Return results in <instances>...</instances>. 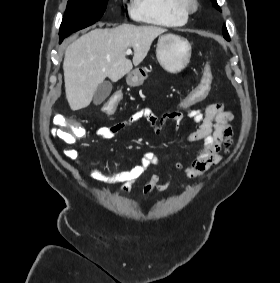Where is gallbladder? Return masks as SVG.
<instances>
[{
    "label": "gallbladder",
    "instance_id": "gallbladder-1",
    "mask_svg": "<svg viewBox=\"0 0 280 283\" xmlns=\"http://www.w3.org/2000/svg\"><path fill=\"white\" fill-rule=\"evenodd\" d=\"M112 91V84L110 81H103L100 83L94 93V105H100L110 95Z\"/></svg>",
    "mask_w": 280,
    "mask_h": 283
}]
</instances>
